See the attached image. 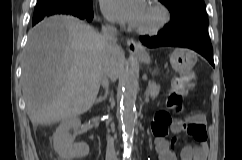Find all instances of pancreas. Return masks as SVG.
Wrapping results in <instances>:
<instances>
[{
    "label": "pancreas",
    "instance_id": "obj_1",
    "mask_svg": "<svg viewBox=\"0 0 242 160\" xmlns=\"http://www.w3.org/2000/svg\"><path fill=\"white\" fill-rule=\"evenodd\" d=\"M160 91V87L154 83V82H150L149 86H148V95L151 96L152 99H155Z\"/></svg>",
    "mask_w": 242,
    "mask_h": 160
}]
</instances>
